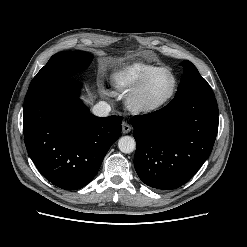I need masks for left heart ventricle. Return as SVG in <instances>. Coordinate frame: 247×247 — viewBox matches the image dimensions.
<instances>
[{
  "label": "left heart ventricle",
  "mask_w": 247,
  "mask_h": 247,
  "mask_svg": "<svg viewBox=\"0 0 247 247\" xmlns=\"http://www.w3.org/2000/svg\"><path fill=\"white\" fill-rule=\"evenodd\" d=\"M173 85L170 74L166 71H157L150 75L141 91V100L155 103L165 98Z\"/></svg>",
  "instance_id": "obj_1"
}]
</instances>
